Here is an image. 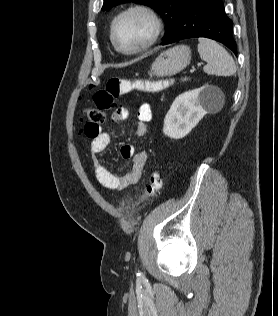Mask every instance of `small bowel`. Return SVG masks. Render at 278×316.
Segmentation results:
<instances>
[{"instance_id": "small-bowel-1", "label": "small bowel", "mask_w": 278, "mask_h": 316, "mask_svg": "<svg viewBox=\"0 0 278 316\" xmlns=\"http://www.w3.org/2000/svg\"><path fill=\"white\" fill-rule=\"evenodd\" d=\"M129 115L130 112L126 107H119L112 113L111 119L113 122L118 123L126 120ZM136 117V134L138 137H143L147 133L148 124L152 119L150 105L148 103L141 104L137 110ZM86 136L91 140L89 151L94 174L102 186L110 190L122 191L139 182L147 162V155L145 152H136L131 145L123 146L120 151L121 156L123 158H131L132 164L124 175L117 176L113 174L100 159L101 153L110 143V135L99 130V132L93 136Z\"/></svg>"}]
</instances>
